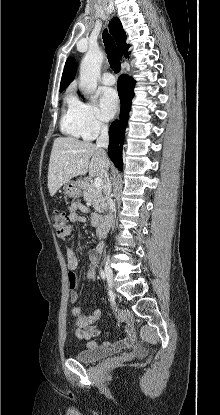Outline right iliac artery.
<instances>
[{
  "label": "right iliac artery",
  "mask_w": 220,
  "mask_h": 415,
  "mask_svg": "<svg viewBox=\"0 0 220 415\" xmlns=\"http://www.w3.org/2000/svg\"><path fill=\"white\" fill-rule=\"evenodd\" d=\"M100 274H101V278L103 279V280H105V273H104V271L101 269V271H100Z\"/></svg>",
  "instance_id": "obj_1"
}]
</instances>
